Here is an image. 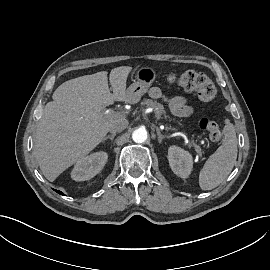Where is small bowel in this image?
I'll use <instances>...</instances> for the list:
<instances>
[{
    "mask_svg": "<svg viewBox=\"0 0 270 270\" xmlns=\"http://www.w3.org/2000/svg\"><path fill=\"white\" fill-rule=\"evenodd\" d=\"M149 95L154 99H162L176 116L189 117L193 112L192 107L187 105L185 98L180 96L165 97L159 87H152L149 91Z\"/></svg>",
    "mask_w": 270,
    "mask_h": 270,
    "instance_id": "obj_1",
    "label": "small bowel"
}]
</instances>
